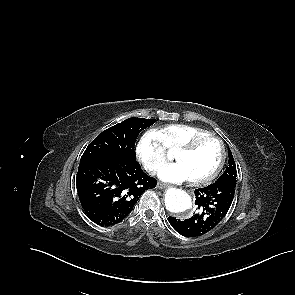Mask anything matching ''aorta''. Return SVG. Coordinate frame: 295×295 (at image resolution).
Instances as JSON below:
<instances>
[{
  "instance_id": "762f6f07",
  "label": "aorta",
  "mask_w": 295,
  "mask_h": 295,
  "mask_svg": "<svg viewBox=\"0 0 295 295\" xmlns=\"http://www.w3.org/2000/svg\"><path fill=\"white\" fill-rule=\"evenodd\" d=\"M166 209L173 214L187 213L192 208V199L184 190L168 188L165 192Z\"/></svg>"
}]
</instances>
